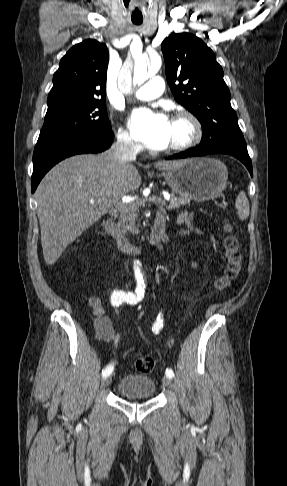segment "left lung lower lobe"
Wrapping results in <instances>:
<instances>
[{
  "mask_svg": "<svg viewBox=\"0 0 287 486\" xmlns=\"http://www.w3.org/2000/svg\"><path fill=\"white\" fill-rule=\"evenodd\" d=\"M213 153H224V154H229L231 156L236 157L242 163L245 164V166L249 170L251 176L253 175L252 163H251V159L248 155V152H232V151H222V150L190 148V149H188L184 152L175 154V155L169 157L168 159L188 158V157L203 156V155L213 154Z\"/></svg>",
  "mask_w": 287,
  "mask_h": 486,
  "instance_id": "1",
  "label": "left lung lower lobe"
}]
</instances>
